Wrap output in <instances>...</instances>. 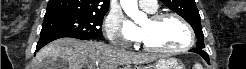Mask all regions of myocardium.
I'll list each match as a JSON object with an SVG mask.
<instances>
[{
	"label": "myocardium",
	"instance_id": "1",
	"mask_svg": "<svg viewBox=\"0 0 246 69\" xmlns=\"http://www.w3.org/2000/svg\"><path fill=\"white\" fill-rule=\"evenodd\" d=\"M168 18L176 19L182 24V26L185 28L186 33H187V43L179 48H173V49H162V48L152 47L149 44H147L145 41H142V45L146 49L151 50L152 52L163 54V55L177 54V53L184 52V51L191 49L194 44L195 37H194V33H193L191 26L183 17H181L180 15L176 13L165 12V13L153 14L150 17V21L160 22Z\"/></svg>",
	"mask_w": 246,
	"mask_h": 69
}]
</instances>
